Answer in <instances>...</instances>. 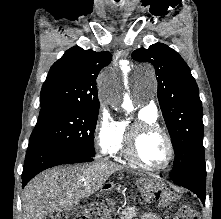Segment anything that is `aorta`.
<instances>
[{"instance_id": "762f6f07", "label": "aorta", "mask_w": 221, "mask_h": 219, "mask_svg": "<svg viewBox=\"0 0 221 219\" xmlns=\"http://www.w3.org/2000/svg\"><path fill=\"white\" fill-rule=\"evenodd\" d=\"M127 64V63H125ZM116 79L111 74H103L100 78V95L103 99L118 102L119 96L116 92ZM122 107L130 112L133 108L132 101L125 99Z\"/></svg>"}]
</instances>
